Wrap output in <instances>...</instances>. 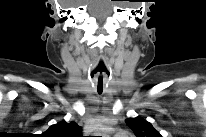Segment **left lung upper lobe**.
I'll list each match as a JSON object with an SVG mask.
<instances>
[{
  "instance_id": "left-lung-upper-lobe-1",
  "label": "left lung upper lobe",
  "mask_w": 206,
  "mask_h": 137,
  "mask_svg": "<svg viewBox=\"0 0 206 137\" xmlns=\"http://www.w3.org/2000/svg\"><path fill=\"white\" fill-rule=\"evenodd\" d=\"M125 122L133 130L136 137H161V134L145 119L127 118Z\"/></svg>"
}]
</instances>
